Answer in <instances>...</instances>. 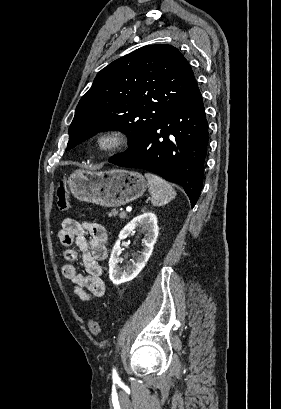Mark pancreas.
Masks as SVG:
<instances>
[{
	"label": "pancreas",
	"instance_id": "obj_1",
	"mask_svg": "<svg viewBox=\"0 0 281 409\" xmlns=\"http://www.w3.org/2000/svg\"><path fill=\"white\" fill-rule=\"evenodd\" d=\"M113 215H114V217H116V215H118V211H116V209H112L111 213H108V217H113ZM119 217L121 219L120 215H119Z\"/></svg>",
	"mask_w": 281,
	"mask_h": 409
}]
</instances>
